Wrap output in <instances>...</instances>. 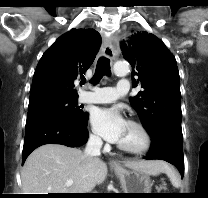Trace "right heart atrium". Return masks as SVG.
Masks as SVG:
<instances>
[{"label": "right heart atrium", "mask_w": 208, "mask_h": 198, "mask_svg": "<svg viewBox=\"0 0 208 198\" xmlns=\"http://www.w3.org/2000/svg\"><path fill=\"white\" fill-rule=\"evenodd\" d=\"M90 140L93 144H96V145L101 144V139L96 133L90 134Z\"/></svg>", "instance_id": "right-heart-atrium-1"}]
</instances>
